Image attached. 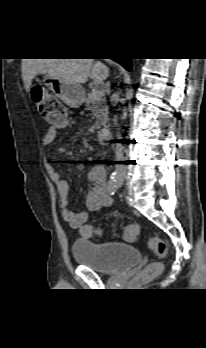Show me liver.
<instances>
[{"mask_svg": "<svg viewBox=\"0 0 206 348\" xmlns=\"http://www.w3.org/2000/svg\"><path fill=\"white\" fill-rule=\"evenodd\" d=\"M22 78L27 92L36 75H50L74 84H84L90 77L98 82L107 79L109 68L94 59H23Z\"/></svg>", "mask_w": 206, "mask_h": 348, "instance_id": "obj_1", "label": "liver"}]
</instances>
